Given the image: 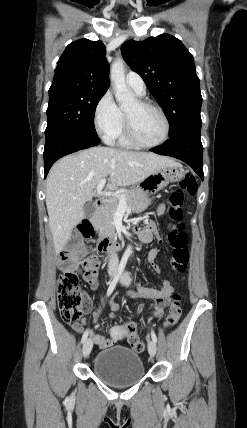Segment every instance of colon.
Instances as JSON below:
<instances>
[{
	"label": "colon",
	"instance_id": "1",
	"mask_svg": "<svg viewBox=\"0 0 247 428\" xmlns=\"http://www.w3.org/2000/svg\"><path fill=\"white\" fill-rule=\"evenodd\" d=\"M197 192V182L191 175H186L179 183L176 190L173 191L169 198L170 203V218L168 223V241L172 248L171 266L176 274L184 273L189 253L187 249V236L183 230L182 218V205L186 196H194ZM78 234L88 239L94 235V230L90 223L83 222L77 228ZM77 242L73 243V247L63 250L59 255L62 272L58 278V306L61 317L64 322L68 324H75L85 313L84 291L79 282L77 270L74 267L76 258L75 246ZM83 267L88 272L89 278L96 277V269L98 267L97 260L92 255H86L83 258ZM135 311H131V316L140 317L144 314V304H136ZM168 308V303L163 298H158L155 305L152 306L151 314L154 320H161L165 316V310ZM129 314V311H126ZM182 315L181 297L178 294L172 296L169 306L168 314L164 321L165 328L175 326L180 320ZM125 331L128 334L129 344L132 349L137 352H142L145 345L140 341L138 335V326L134 325L132 319H126Z\"/></svg>",
	"mask_w": 247,
	"mask_h": 428
}]
</instances>
